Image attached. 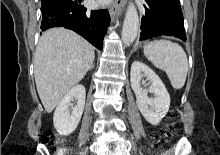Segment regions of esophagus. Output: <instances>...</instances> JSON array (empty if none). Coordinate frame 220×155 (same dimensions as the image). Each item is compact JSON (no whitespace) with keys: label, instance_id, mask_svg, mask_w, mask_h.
Instances as JSON below:
<instances>
[{"label":"esophagus","instance_id":"esophagus-1","mask_svg":"<svg viewBox=\"0 0 220 155\" xmlns=\"http://www.w3.org/2000/svg\"><path fill=\"white\" fill-rule=\"evenodd\" d=\"M125 3L126 0H113L109 12H110V16L111 19L114 20V18L117 15H121V13L123 12V9L125 7Z\"/></svg>","mask_w":220,"mask_h":155}]
</instances>
